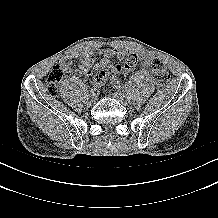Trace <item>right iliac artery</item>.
<instances>
[{
  "label": "right iliac artery",
  "instance_id": "obj_1",
  "mask_svg": "<svg viewBox=\"0 0 218 218\" xmlns=\"http://www.w3.org/2000/svg\"><path fill=\"white\" fill-rule=\"evenodd\" d=\"M96 92H98V89H97V86H94V87L91 89V93H92V94H95Z\"/></svg>",
  "mask_w": 218,
  "mask_h": 218
}]
</instances>
